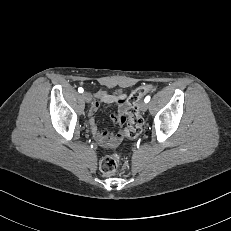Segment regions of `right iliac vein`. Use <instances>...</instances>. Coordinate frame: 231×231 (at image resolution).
I'll list each match as a JSON object with an SVG mask.
<instances>
[{
  "label": "right iliac vein",
  "mask_w": 231,
  "mask_h": 231,
  "mask_svg": "<svg viewBox=\"0 0 231 231\" xmlns=\"http://www.w3.org/2000/svg\"><path fill=\"white\" fill-rule=\"evenodd\" d=\"M82 97L87 103H90L91 100H92V96H91V94L89 92H84L82 94Z\"/></svg>",
  "instance_id": "right-iliac-vein-1"
}]
</instances>
